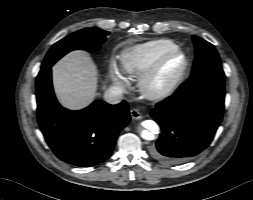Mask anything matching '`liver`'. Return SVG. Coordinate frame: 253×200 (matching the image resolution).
<instances>
[{
	"instance_id": "liver-1",
	"label": "liver",
	"mask_w": 253,
	"mask_h": 200,
	"mask_svg": "<svg viewBox=\"0 0 253 200\" xmlns=\"http://www.w3.org/2000/svg\"><path fill=\"white\" fill-rule=\"evenodd\" d=\"M53 85L59 102L69 109H81L97 96V71L91 57L83 51H72L53 69Z\"/></svg>"
}]
</instances>
